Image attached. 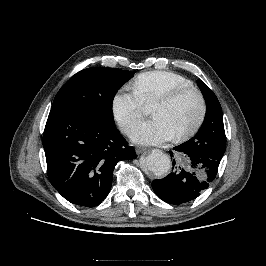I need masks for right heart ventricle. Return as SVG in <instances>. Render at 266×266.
Instances as JSON below:
<instances>
[{
    "label": "right heart ventricle",
    "mask_w": 266,
    "mask_h": 266,
    "mask_svg": "<svg viewBox=\"0 0 266 266\" xmlns=\"http://www.w3.org/2000/svg\"><path fill=\"white\" fill-rule=\"evenodd\" d=\"M188 86H192L188 79L177 73L164 70L141 73L132 82L133 91L145 105H152L168 92Z\"/></svg>",
    "instance_id": "e07e8e85"
}]
</instances>
